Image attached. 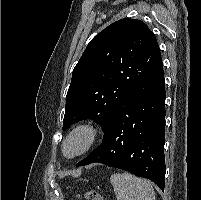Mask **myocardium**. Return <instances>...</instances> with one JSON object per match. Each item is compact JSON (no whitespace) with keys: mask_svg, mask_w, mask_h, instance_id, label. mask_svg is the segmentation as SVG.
I'll list each match as a JSON object with an SVG mask.
<instances>
[{"mask_svg":"<svg viewBox=\"0 0 201 200\" xmlns=\"http://www.w3.org/2000/svg\"><path fill=\"white\" fill-rule=\"evenodd\" d=\"M82 133L86 136L85 145L74 154L66 153V146L68 141L76 134ZM102 135V129L99 125L93 122H82L74 126L66 135L62 143V153L67 159H75L86 154L98 142Z\"/></svg>","mask_w":201,"mask_h":200,"instance_id":"myocardium-1","label":"myocardium"}]
</instances>
